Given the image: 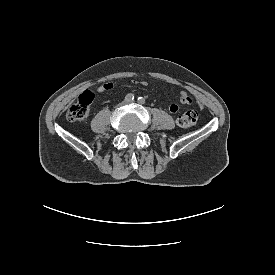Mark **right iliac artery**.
Segmentation results:
<instances>
[{
	"instance_id": "obj_1",
	"label": "right iliac artery",
	"mask_w": 275,
	"mask_h": 275,
	"mask_svg": "<svg viewBox=\"0 0 275 275\" xmlns=\"http://www.w3.org/2000/svg\"><path fill=\"white\" fill-rule=\"evenodd\" d=\"M125 99L126 101L132 102L134 100V95L130 93L125 97Z\"/></svg>"
}]
</instances>
